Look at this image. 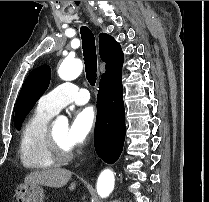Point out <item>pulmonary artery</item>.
Wrapping results in <instances>:
<instances>
[{
	"mask_svg": "<svg viewBox=\"0 0 209 202\" xmlns=\"http://www.w3.org/2000/svg\"><path fill=\"white\" fill-rule=\"evenodd\" d=\"M90 94L88 90L72 82H63L43 95L38 106L52 114H56L68 104L82 105L88 102Z\"/></svg>",
	"mask_w": 209,
	"mask_h": 202,
	"instance_id": "1",
	"label": "pulmonary artery"
}]
</instances>
